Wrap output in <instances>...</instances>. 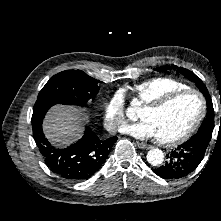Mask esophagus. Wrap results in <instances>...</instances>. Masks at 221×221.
<instances>
[{"instance_id": "1", "label": "esophagus", "mask_w": 221, "mask_h": 221, "mask_svg": "<svg viewBox=\"0 0 221 221\" xmlns=\"http://www.w3.org/2000/svg\"><path fill=\"white\" fill-rule=\"evenodd\" d=\"M137 147H139L140 149H149V145L145 144V143H141V142H136Z\"/></svg>"}]
</instances>
